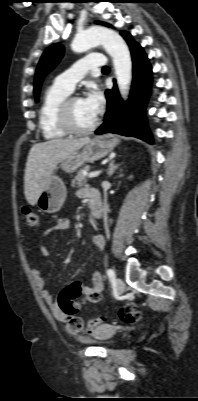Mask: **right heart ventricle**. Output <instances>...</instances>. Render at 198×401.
<instances>
[{
    "label": "right heart ventricle",
    "instance_id": "e07e8e85",
    "mask_svg": "<svg viewBox=\"0 0 198 401\" xmlns=\"http://www.w3.org/2000/svg\"><path fill=\"white\" fill-rule=\"evenodd\" d=\"M70 93L55 83L45 91L39 109V127L45 139H61L67 135L58 123V110Z\"/></svg>",
    "mask_w": 198,
    "mask_h": 401
}]
</instances>
